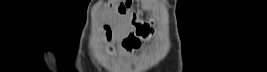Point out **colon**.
<instances>
[{
    "label": "colon",
    "mask_w": 267,
    "mask_h": 72,
    "mask_svg": "<svg viewBox=\"0 0 267 72\" xmlns=\"http://www.w3.org/2000/svg\"><path fill=\"white\" fill-rule=\"evenodd\" d=\"M149 28L146 24L136 22V35L129 37L126 40V48L131 49L139 45V37H146Z\"/></svg>",
    "instance_id": "1"
}]
</instances>
